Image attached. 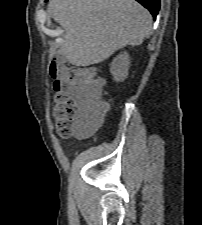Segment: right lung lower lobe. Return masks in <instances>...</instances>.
<instances>
[{
  "instance_id": "98d812e1",
  "label": "right lung lower lobe",
  "mask_w": 202,
  "mask_h": 225,
  "mask_svg": "<svg viewBox=\"0 0 202 225\" xmlns=\"http://www.w3.org/2000/svg\"><path fill=\"white\" fill-rule=\"evenodd\" d=\"M136 1H138L144 7H146L151 12L154 19L156 18V15L158 14L160 8V0H136Z\"/></svg>"
}]
</instances>
